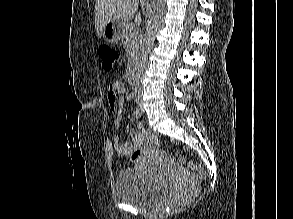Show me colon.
Instances as JSON below:
<instances>
[{"label": "colon", "instance_id": "obj_1", "mask_svg": "<svg viewBox=\"0 0 293 219\" xmlns=\"http://www.w3.org/2000/svg\"><path fill=\"white\" fill-rule=\"evenodd\" d=\"M100 58L102 60V66L106 71H112L119 60V54L116 50L111 48L110 46H103L100 49ZM159 137L154 132H147L146 139L144 145L134 150L130 157L133 161L138 160L143 154L153 150L159 145ZM178 164L181 168L189 172H194L200 179H205L207 176L206 170L194 163L193 161L180 157L178 160Z\"/></svg>", "mask_w": 293, "mask_h": 219}]
</instances>
